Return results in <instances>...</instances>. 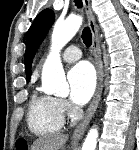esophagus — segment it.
<instances>
[{"instance_id": "1", "label": "esophagus", "mask_w": 139, "mask_h": 150, "mask_svg": "<svg viewBox=\"0 0 139 150\" xmlns=\"http://www.w3.org/2000/svg\"><path fill=\"white\" fill-rule=\"evenodd\" d=\"M83 4L85 7V11L88 18L89 28L92 34V51L95 59V65L97 68V88L94 94V97L85 113L83 120L78 124L76 129L74 130L71 140L76 142L81 139L83 136L90 119L92 118L101 98L102 90H103V67L100 57V45L98 40V30L95 22L94 13L91 8L90 0H83Z\"/></svg>"}]
</instances>
